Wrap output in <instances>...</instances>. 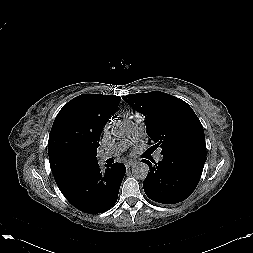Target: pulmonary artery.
<instances>
[{
  "label": "pulmonary artery",
  "instance_id": "pulmonary-artery-1",
  "mask_svg": "<svg viewBox=\"0 0 253 253\" xmlns=\"http://www.w3.org/2000/svg\"><path fill=\"white\" fill-rule=\"evenodd\" d=\"M125 124L127 129L126 138L123 141L106 149L105 151H102L98 157L100 161H104L108 158L116 156L120 152L124 151L132 142L138 140L141 137L143 132V124L142 118L140 116L126 117ZM156 159L158 161L163 160V155L160 151L156 154Z\"/></svg>",
  "mask_w": 253,
  "mask_h": 253
}]
</instances>
